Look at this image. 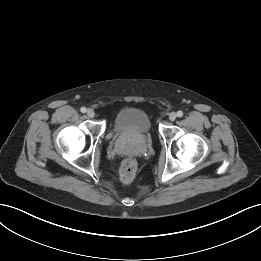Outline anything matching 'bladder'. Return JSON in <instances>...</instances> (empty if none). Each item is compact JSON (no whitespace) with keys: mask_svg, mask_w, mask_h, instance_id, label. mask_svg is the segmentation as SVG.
<instances>
[{"mask_svg":"<svg viewBox=\"0 0 261 261\" xmlns=\"http://www.w3.org/2000/svg\"><path fill=\"white\" fill-rule=\"evenodd\" d=\"M152 121L149 114L139 108H125L117 113L112 129L117 134L141 135L151 131Z\"/></svg>","mask_w":261,"mask_h":261,"instance_id":"31cf9c89","label":"bladder"}]
</instances>
